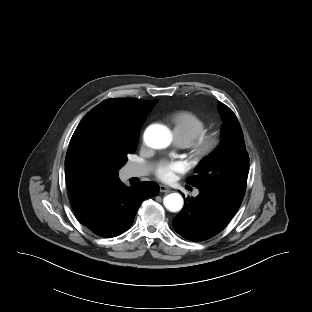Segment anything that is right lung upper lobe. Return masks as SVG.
<instances>
[{
	"label": "right lung upper lobe",
	"instance_id": "cb5924a9",
	"mask_svg": "<svg viewBox=\"0 0 312 312\" xmlns=\"http://www.w3.org/2000/svg\"><path fill=\"white\" fill-rule=\"evenodd\" d=\"M155 103L156 100L133 98L106 99L83 117L70 140L65 160L66 183L76 215L87 210L110 187L120 181L117 172L87 173L77 167L74 152L85 133L95 126H102L114 130L119 135L131 136L136 128L144 123L147 113Z\"/></svg>",
	"mask_w": 312,
	"mask_h": 312
}]
</instances>
